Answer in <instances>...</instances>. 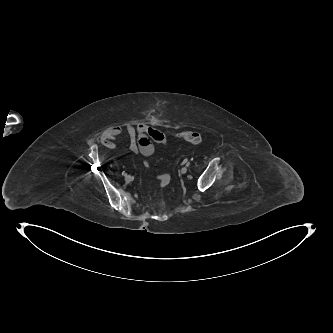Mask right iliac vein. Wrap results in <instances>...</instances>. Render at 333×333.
<instances>
[{"label": "right iliac vein", "instance_id": "obj_1", "mask_svg": "<svg viewBox=\"0 0 333 333\" xmlns=\"http://www.w3.org/2000/svg\"><path fill=\"white\" fill-rule=\"evenodd\" d=\"M125 180H126V182L129 183L133 180V178L130 175H128Z\"/></svg>", "mask_w": 333, "mask_h": 333}]
</instances>
